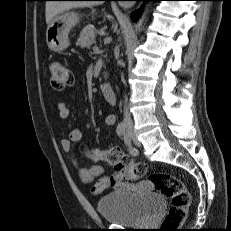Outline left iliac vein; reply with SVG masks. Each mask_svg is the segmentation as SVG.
Wrapping results in <instances>:
<instances>
[{
	"instance_id": "obj_1",
	"label": "left iliac vein",
	"mask_w": 231,
	"mask_h": 231,
	"mask_svg": "<svg viewBox=\"0 0 231 231\" xmlns=\"http://www.w3.org/2000/svg\"><path fill=\"white\" fill-rule=\"evenodd\" d=\"M129 134H130V136H131V138H132L133 143H134L137 147H140V146H141V143H140V141L137 139L135 133L132 132V131H130Z\"/></svg>"
}]
</instances>
